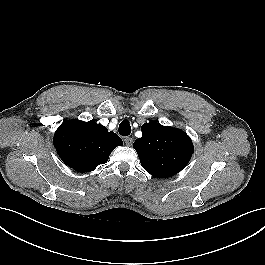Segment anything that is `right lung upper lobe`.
<instances>
[{"mask_svg": "<svg viewBox=\"0 0 265 265\" xmlns=\"http://www.w3.org/2000/svg\"><path fill=\"white\" fill-rule=\"evenodd\" d=\"M123 145L114 132L94 120H69L55 132L54 146L60 158L74 170L85 173L107 162L115 147Z\"/></svg>", "mask_w": 265, "mask_h": 265, "instance_id": "obj_1", "label": "right lung upper lobe"}]
</instances>
